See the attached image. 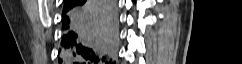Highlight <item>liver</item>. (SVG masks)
Wrapping results in <instances>:
<instances>
[{
  "label": "liver",
  "mask_w": 242,
  "mask_h": 64,
  "mask_svg": "<svg viewBox=\"0 0 242 64\" xmlns=\"http://www.w3.org/2000/svg\"><path fill=\"white\" fill-rule=\"evenodd\" d=\"M88 23L100 33L107 30L105 23L98 19L95 11L92 13Z\"/></svg>",
  "instance_id": "6515ba94"
}]
</instances>
